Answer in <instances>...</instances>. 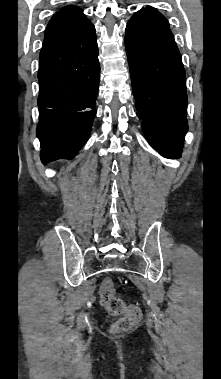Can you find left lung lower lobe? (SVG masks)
Listing matches in <instances>:
<instances>
[{"label":"left lung lower lobe","instance_id":"left-lung-lower-lobe-1","mask_svg":"<svg viewBox=\"0 0 221 379\" xmlns=\"http://www.w3.org/2000/svg\"><path fill=\"white\" fill-rule=\"evenodd\" d=\"M125 47L145 136L161 155L178 158L188 129L186 76L168 21L142 8L127 24Z\"/></svg>","mask_w":221,"mask_h":379}]
</instances>
